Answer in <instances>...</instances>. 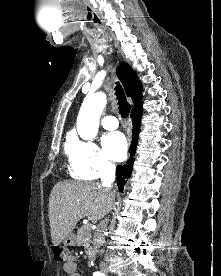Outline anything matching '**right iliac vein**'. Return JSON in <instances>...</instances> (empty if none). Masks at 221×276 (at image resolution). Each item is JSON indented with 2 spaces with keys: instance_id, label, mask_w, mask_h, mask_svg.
<instances>
[{
  "instance_id": "obj_1",
  "label": "right iliac vein",
  "mask_w": 221,
  "mask_h": 276,
  "mask_svg": "<svg viewBox=\"0 0 221 276\" xmlns=\"http://www.w3.org/2000/svg\"><path fill=\"white\" fill-rule=\"evenodd\" d=\"M102 270H103L104 272H108L107 267H103Z\"/></svg>"
}]
</instances>
